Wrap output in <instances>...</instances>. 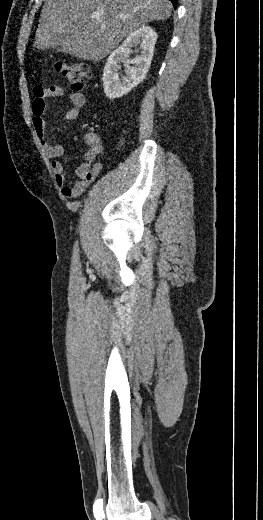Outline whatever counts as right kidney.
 <instances>
[{
  "instance_id": "right-kidney-1",
  "label": "right kidney",
  "mask_w": 263,
  "mask_h": 520,
  "mask_svg": "<svg viewBox=\"0 0 263 520\" xmlns=\"http://www.w3.org/2000/svg\"><path fill=\"white\" fill-rule=\"evenodd\" d=\"M157 33L149 26L132 32L107 59L103 71V88L106 96L113 100L128 94L146 76L153 57ZM140 46V54L128 59L131 48ZM125 63V75L119 78V64ZM130 64H134L132 67Z\"/></svg>"
}]
</instances>
